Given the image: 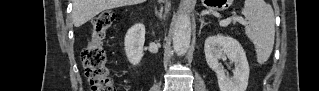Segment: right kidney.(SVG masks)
I'll use <instances>...</instances> for the list:
<instances>
[{"label": "right kidney", "instance_id": "1", "mask_svg": "<svg viewBox=\"0 0 319 91\" xmlns=\"http://www.w3.org/2000/svg\"><path fill=\"white\" fill-rule=\"evenodd\" d=\"M145 26L142 23L132 26L125 36L124 46L129 62L138 65L143 57Z\"/></svg>", "mask_w": 319, "mask_h": 91}]
</instances>
